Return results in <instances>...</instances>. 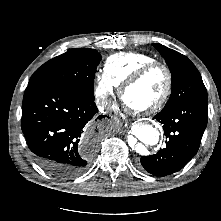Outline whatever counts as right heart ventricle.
Segmentation results:
<instances>
[{
  "instance_id": "obj_1",
  "label": "right heart ventricle",
  "mask_w": 221,
  "mask_h": 221,
  "mask_svg": "<svg viewBox=\"0 0 221 221\" xmlns=\"http://www.w3.org/2000/svg\"><path fill=\"white\" fill-rule=\"evenodd\" d=\"M156 61L147 53L122 52L107 58L104 71L118 86L122 85L142 65Z\"/></svg>"
}]
</instances>
